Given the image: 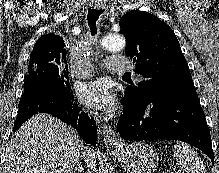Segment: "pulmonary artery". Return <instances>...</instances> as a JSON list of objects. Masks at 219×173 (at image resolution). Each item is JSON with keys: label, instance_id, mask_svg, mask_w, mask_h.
<instances>
[{"label": "pulmonary artery", "instance_id": "e3ab8cb5", "mask_svg": "<svg viewBox=\"0 0 219 173\" xmlns=\"http://www.w3.org/2000/svg\"><path fill=\"white\" fill-rule=\"evenodd\" d=\"M106 67L111 71H128L131 69V62L125 57L110 56L105 60ZM73 76L78 79L88 78L93 74V66L89 60H82L72 70Z\"/></svg>", "mask_w": 219, "mask_h": 173}]
</instances>
